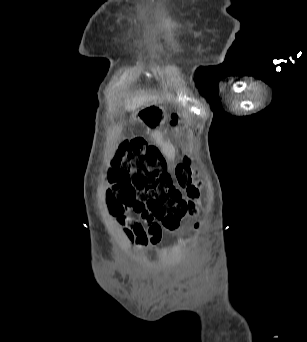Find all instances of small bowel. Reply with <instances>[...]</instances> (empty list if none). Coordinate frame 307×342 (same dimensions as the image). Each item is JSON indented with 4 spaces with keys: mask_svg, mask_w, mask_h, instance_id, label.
<instances>
[{
    "mask_svg": "<svg viewBox=\"0 0 307 342\" xmlns=\"http://www.w3.org/2000/svg\"><path fill=\"white\" fill-rule=\"evenodd\" d=\"M137 214L139 217H118L116 222L128 245L141 253L147 246L160 242L162 228L150 214Z\"/></svg>",
    "mask_w": 307,
    "mask_h": 342,
    "instance_id": "1",
    "label": "small bowel"
}]
</instances>
